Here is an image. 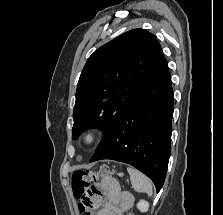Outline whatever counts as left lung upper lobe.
Wrapping results in <instances>:
<instances>
[{"label": "left lung upper lobe", "mask_w": 223, "mask_h": 215, "mask_svg": "<svg viewBox=\"0 0 223 215\" xmlns=\"http://www.w3.org/2000/svg\"><path fill=\"white\" fill-rule=\"evenodd\" d=\"M165 61L156 37L143 29L130 30L98 48L77 84L72 139L88 128H100V148Z\"/></svg>", "instance_id": "5c2ea615"}]
</instances>
